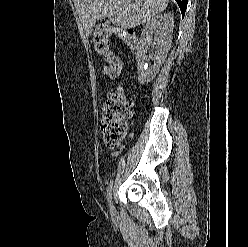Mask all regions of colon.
I'll return each instance as SVG.
<instances>
[{
    "instance_id": "1",
    "label": "colon",
    "mask_w": 248,
    "mask_h": 247,
    "mask_svg": "<svg viewBox=\"0 0 248 247\" xmlns=\"http://www.w3.org/2000/svg\"><path fill=\"white\" fill-rule=\"evenodd\" d=\"M111 35H117L130 49L136 45V36L133 32L115 28L107 23L98 25L93 31L94 49L106 62L103 68L104 73L108 77L115 78L121 73L122 64L118 56L110 49ZM131 106V102L126 99L121 88L110 93L103 109L100 126L103 141L108 148L120 147L132 115Z\"/></svg>"
}]
</instances>
